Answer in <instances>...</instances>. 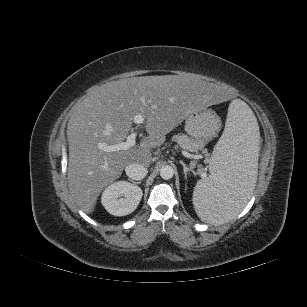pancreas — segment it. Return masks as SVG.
<instances>
[{
    "instance_id": "pancreas-1",
    "label": "pancreas",
    "mask_w": 307,
    "mask_h": 307,
    "mask_svg": "<svg viewBox=\"0 0 307 307\" xmlns=\"http://www.w3.org/2000/svg\"><path fill=\"white\" fill-rule=\"evenodd\" d=\"M172 140L177 142L182 149L189 152H197L202 147V142L199 139L191 138L186 134H177L173 136Z\"/></svg>"
}]
</instances>
